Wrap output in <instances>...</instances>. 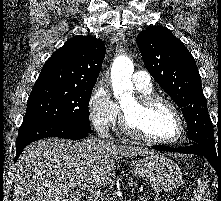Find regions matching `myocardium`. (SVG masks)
Wrapping results in <instances>:
<instances>
[{
	"label": "myocardium",
	"instance_id": "obj_1",
	"mask_svg": "<svg viewBox=\"0 0 221 201\" xmlns=\"http://www.w3.org/2000/svg\"><path fill=\"white\" fill-rule=\"evenodd\" d=\"M135 99H136V105L140 110H145V109H147L157 103H163V104L167 105L173 111L175 116L177 117L180 129H179L178 135L172 139H157V138L147 136V135L143 134L142 132H140L134 126V124L131 122V120L129 118V115L122 108L120 125H121L122 130L128 136H130L134 139H137V140H141V141L152 143V144H159V145L174 144L183 138V136L185 135V132H186V124H185V120H184V117H183L181 111L179 110V108L176 106V104L174 102H172L170 99H168L164 96H161V95H158L155 93L140 94Z\"/></svg>",
	"mask_w": 221,
	"mask_h": 201
}]
</instances>
